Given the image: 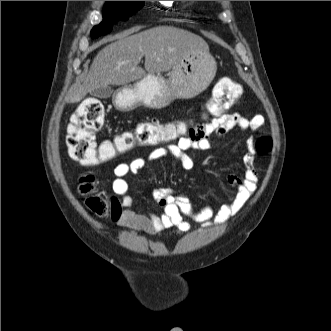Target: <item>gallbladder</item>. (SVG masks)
<instances>
[{
  "instance_id": "obj_1",
  "label": "gallbladder",
  "mask_w": 331,
  "mask_h": 331,
  "mask_svg": "<svg viewBox=\"0 0 331 331\" xmlns=\"http://www.w3.org/2000/svg\"><path fill=\"white\" fill-rule=\"evenodd\" d=\"M113 94V90L111 87L106 86V87H100L91 92V95L95 98L99 99H107L111 97Z\"/></svg>"
}]
</instances>
